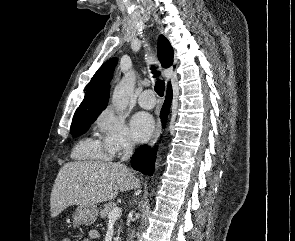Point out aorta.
<instances>
[{"mask_svg": "<svg viewBox=\"0 0 295 241\" xmlns=\"http://www.w3.org/2000/svg\"><path fill=\"white\" fill-rule=\"evenodd\" d=\"M135 82L136 76L134 72H128L115 87L112 95V104L118 112H123L126 110L129 97L134 90ZM133 237L134 231H132L129 240L132 241Z\"/></svg>", "mask_w": 295, "mask_h": 241, "instance_id": "aorta-1", "label": "aorta"}]
</instances>
